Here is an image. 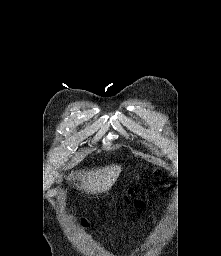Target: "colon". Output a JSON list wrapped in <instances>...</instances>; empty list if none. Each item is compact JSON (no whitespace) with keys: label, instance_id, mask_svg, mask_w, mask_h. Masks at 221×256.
<instances>
[{"label":"colon","instance_id":"1","mask_svg":"<svg viewBox=\"0 0 221 256\" xmlns=\"http://www.w3.org/2000/svg\"><path fill=\"white\" fill-rule=\"evenodd\" d=\"M129 194L132 195V194H133V190H130V191H129ZM135 206H136L137 208H141V207H143V202L138 200V201L135 202Z\"/></svg>","mask_w":221,"mask_h":256}]
</instances>
